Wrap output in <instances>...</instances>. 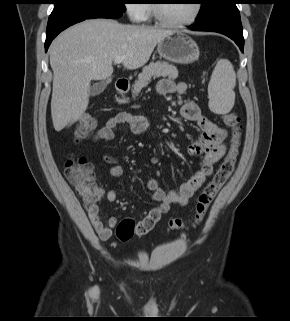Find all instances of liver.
Returning <instances> with one entry per match:
<instances>
[{"instance_id":"obj_1","label":"liver","mask_w":290,"mask_h":321,"mask_svg":"<svg viewBox=\"0 0 290 321\" xmlns=\"http://www.w3.org/2000/svg\"><path fill=\"white\" fill-rule=\"evenodd\" d=\"M172 30L92 19L58 35L49 48L53 70L51 116L56 131L78 121L88 107L90 83L113 73L112 62L133 70L145 65L156 45Z\"/></svg>"}]
</instances>
